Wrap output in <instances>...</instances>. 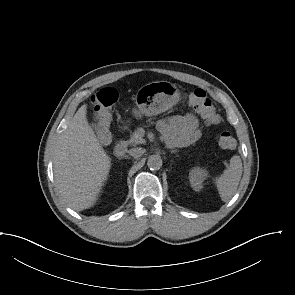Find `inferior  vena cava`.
Returning a JSON list of instances; mask_svg holds the SVG:
<instances>
[{
    "label": "inferior vena cava",
    "instance_id": "inferior-vena-cava-1",
    "mask_svg": "<svg viewBox=\"0 0 295 295\" xmlns=\"http://www.w3.org/2000/svg\"><path fill=\"white\" fill-rule=\"evenodd\" d=\"M129 154L134 158H139L144 154V150L142 148H132L129 150Z\"/></svg>",
    "mask_w": 295,
    "mask_h": 295
}]
</instances>
